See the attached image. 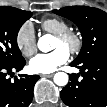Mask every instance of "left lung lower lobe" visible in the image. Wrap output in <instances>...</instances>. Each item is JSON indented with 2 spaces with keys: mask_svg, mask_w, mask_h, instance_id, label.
<instances>
[{
  "mask_svg": "<svg viewBox=\"0 0 107 107\" xmlns=\"http://www.w3.org/2000/svg\"><path fill=\"white\" fill-rule=\"evenodd\" d=\"M70 65L80 69L83 79L79 81V74H73L68 85L60 92L63 102L68 107H106L107 53Z\"/></svg>",
  "mask_w": 107,
  "mask_h": 107,
  "instance_id": "0a47b994",
  "label": "left lung lower lobe"
}]
</instances>
